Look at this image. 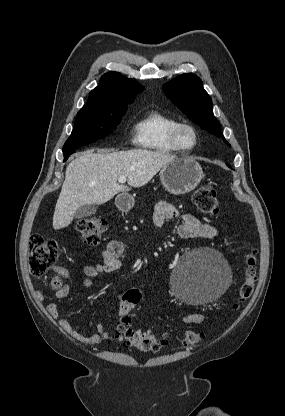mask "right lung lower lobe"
Masks as SVG:
<instances>
[{
  "mask_svg": "<svg viewBox=\"0 0 285 416\" xmlns=\"http://www.w3.org/2000/svg\"><path fill=\"white\" fill-rule=\"evenodd\" d=\"M75 151H73V150H68V151H63V154H64V162L68 159V157L72 154V153H74Z\"/></svg>",
  "mask_w": 285,
  "mask_h": 416,
  "instance_id": "1",
  "label": "right lung lower lobe"
}]
</instances>
